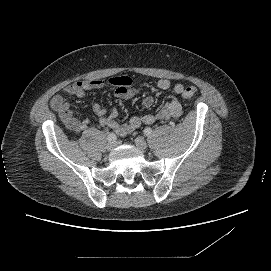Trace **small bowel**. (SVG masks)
Masks as SVG:
<instances>
[{
    "label": "small bowel",
    "instance_id": "c3829d8e",
    "mask_svg": "<svg viewBox=\"0 0 271 271\" xmlns=\"http://www.w3.org/2000/svg\"><path fill=\"white\" fill-rule=\"evenodd\" d=\"M105 85H110L114 94L122 99L130 98L135 92L132 80L126 76L116 77L110 80H80L67 85L59 94L53 96L50 101V106L54 111L58 112L61 122L68 130L75 134H80L87 129L89 120L88 118L77 119L73 115L70 102L65 99V96L71 95L77 98H83L87 91L101 88ZM157 87L160 90L172 88V91L177 95L183 94L184 91V86L182 84L176 83L172 86L168 79H160L157 82ZM153 104L154 99L152 96L144 98L143 105L146 108H151ZM92 111L99 117L101 125L107 126L114 130L118 135L123 136L131 133L142 124L151 125L157 121L180 117L184 112V107L177 99H171L166 102L157 113L134 116L123 125L116 122V109L107 110L95 103L92 105Z\"/></svg>",
    "mask_w": 271,
    "mask_h": 271
}]
</instances>
